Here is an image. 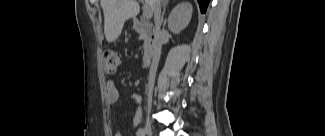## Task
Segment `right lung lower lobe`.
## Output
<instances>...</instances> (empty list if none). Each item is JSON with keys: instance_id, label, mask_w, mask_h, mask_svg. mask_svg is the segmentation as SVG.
Instances as JSON below:
<instances>
[{"instance_id": "1", "label": "right lung lower lobe", "mask_w": 325, "mask_h": 136, "mask_svg": "<svg viewBox=\"0 0 325 136\" xmlns=\"http://www.w3.org/2000/svg\"><path fill=\"white\" fill-rule=\"evenodd\" d=\"M200 6L201 13H205L210 0H197Z\"/></svg>"}]
</instances>
